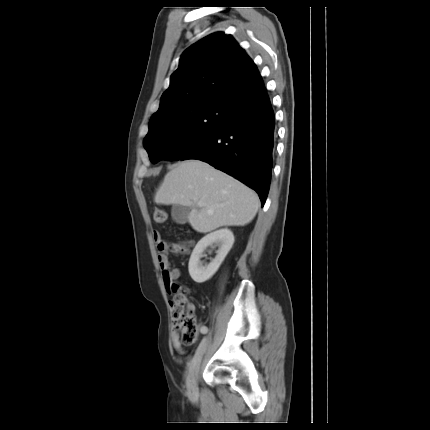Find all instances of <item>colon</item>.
<instances>
[{
  "label": "colon",
  "instance_id": "5ec220e1",
  "mask_svg": "<svg viewBox=\"0 0 430 430\" xmlns=\"http://www.w3.org/2000/svg\"><path fill=\"white\" fill-rule=\"evenodd\" d=\"M155 222L162 224L167 220V213L163 209L154 211ZM173 253H182L186 247L183 244H173L169 247ZM173 297L170 301V309L173 321V328L180 335L184 345L192 344L197 337V322L194 315L193 306L189 303L186 290L179 284L175 283Z\"/></svg>",
  "mask_w": 430,
  "mask_h": 430
}]
</instances>
